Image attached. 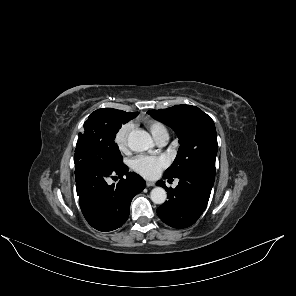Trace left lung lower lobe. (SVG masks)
I'll return each instance as SVG.
<instances>
[{
    "label": "left lung lower lobe",
    "instance_id": "1",
    "mask_svg": "<svg viewBox=\"0 0 296 296\" xmlns=\"http://www.w3.org/2000/svg\"><path fill=\"white\" fill-rule=\"evenodd\" d=\"M164 178L169 177L164 176ZM177 178L180 181L175 189L167 188L162 180L156 183L168 192V201L157 209V214L171 227L186 228L194 224L205 210L214 183L215 171L199 169Z\"/></svg>",
    "mask_w": 296,
    "mask_h": 296
}]
</instances>
